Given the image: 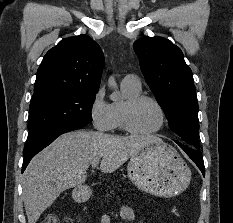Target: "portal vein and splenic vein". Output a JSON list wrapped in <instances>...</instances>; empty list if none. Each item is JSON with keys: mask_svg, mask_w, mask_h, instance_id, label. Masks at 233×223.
<instances>
[{"mask_svg": "<svg viewBox=\"0 0 233 223\" xmlns=\"http://www.w3.org/2000/svg\"><path fill=\"white\" fill-rule=\"evenodd\" d=\"M98 163V159H96V161H92V167H97Z\"/></svg>", "mask_w": 233, "mask_h": 223, "instance_id": "portal-vein-and-splenic-vein-1", "label": "portal vein and splenic vein"}]
</instances>
